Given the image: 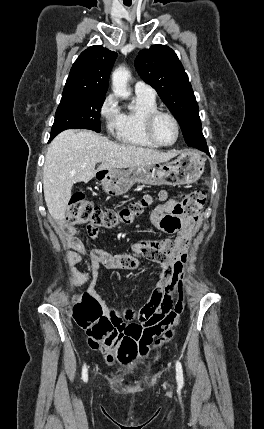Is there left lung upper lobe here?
Returning <instances> with one entry per match:
<instances>
[{"instance_id":"5c2ea615","label":"left lung upper lobe","mask_w":264,"mask_h":429,"mask_svg":"<svg viewBox=\"0 0 264 429\" xmlns=\"http://www.w3.org/2000/svg\"><path fill=\"white\" fill-rule=\"evenodd\" d=\"M135 67L175 116L187 145L207 147L191 84L175 52L165 45H153L139 52Z\"/></svg>"}]
</instances>
